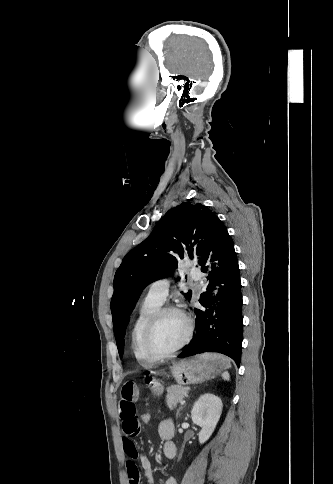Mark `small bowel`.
Segmentation results:
<instances>
[{
    "label": "small bowel",
    "mask_w": 333,
    "mask_h": 484,
    "mask_svg": "<svg viewBox=\"0 0 333 484\" xmlns=\"http://www.w3.org/2000/svg\"><path fill=\"white\" fill-rule=\"evenodd\" d=\"M139 398V388L134 382H126L120 391L118 403V415L123 427V448L129 460L126 463V471L129 484H140V474L135 460H139L144 470L145 477L149 484H153V472L150 461L141 455L136 448L134 438L141 431L136 402ZM158 433L165 441L163 452L166 458L172 459L176 455V445L172 438L174 435V424L172 420H163L158 426ZM164 484H177L173 477L165 480Z\"/></svg>",
    "instance_id": "small-bowel-1"
}]
</instances>
